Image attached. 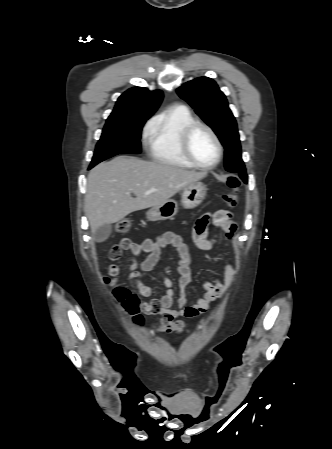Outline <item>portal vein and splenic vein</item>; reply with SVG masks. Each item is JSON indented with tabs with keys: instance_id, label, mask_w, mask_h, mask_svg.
I'll return each mask as SVG.
<instances>
[{
	"instance_id": "portal-vein-and-splenic-vein-1",
	"label": "portal vein and splenic vein",
	"mask_w": 332,
	"mask_h": 449,
	"mask_svg": "<svg viewBox=\"0 0 332 449\" xmlns=\"http://www.w3.org/2000/svg\"><path fill=\"white\" fill-rule=\"evenodd\" d=\"M152 192V190L151 191H147V192H145V194H150Z\"/></svg>"
}]
</instances>
